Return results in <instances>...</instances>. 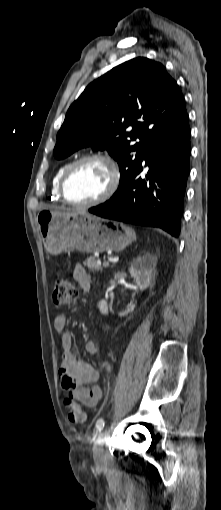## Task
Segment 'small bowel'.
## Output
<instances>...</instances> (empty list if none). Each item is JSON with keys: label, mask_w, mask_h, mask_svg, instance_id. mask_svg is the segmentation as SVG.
<instances>
[{"label": "small bowel", "mask_w": 221, "mask_h": 510, "mask_svg": "<svg viewBox=\"0 0 221 510\" xmlns=\"http://www.w3.org/2000/svg\"><path fill=\"white\" fill-rule=\"evenodd\" d=\"M73 279L83 291L91 289V277L86 269L78 264L73 270ZM67 326V317L59 314L54 318V327L63 331ZM63 357L59 368L60 390L86 407H95L103 397V389L96 384L99 379L98 370L90 363L79 358L73 351V336L70 333L62 335ZM86 352L90 355L98 354V346L93 341L85 345ZM102 367L110 371L111 366L107 361Z\"/></svg>", "instance_id": "c3829d8e"}]
</instances>
